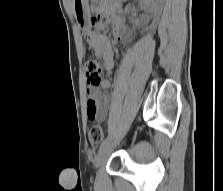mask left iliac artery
I'll return each mask as SVG.
<instances>
[{
    "label": "left iliac artery",
    "mask_w": 223,
    "mask_h": 191,
    "mask_svg": "<svg viewBox=\"0 0 223 191\" xmlns=\"http://www.w3.org/2000/svg\"><path fill=\"white\" fill-rule=\"evenodd\" d=\"M109 141H110V137H107L106 139H104L103 142H102L101 145H100V149H99V151H100L101 149H103L107 144H109Z\"/></svg>",
    "instance_id": "1"
}]
</instances>
